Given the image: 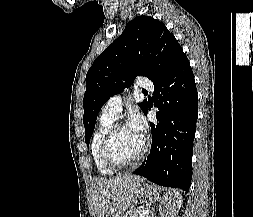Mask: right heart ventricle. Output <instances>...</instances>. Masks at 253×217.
<instances>
[{"label": "right heart ventricle", "instance_id": "right-heart-ventricle-1", "mask_svg": "<svg viewBox=\"0 0 253 217\" xmlns=\"http://www.w3.org/2000/svg\"><path fill=\"white\" fill-rule=\"evenodd\" d=\"M116 118L112 116H108L105 114H101L99 122L97 124V128L93 134L92 141H91V155L95 167L99 174L110 176L113 175L116 170H113L107 167L101 160L100 157V144L101 141L110 128V126L115 122Z\"/></svg>", "mask_w": 253, "mask_h": 217}]
</instances>
